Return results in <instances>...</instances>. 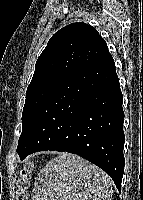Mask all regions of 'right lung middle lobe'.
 Masks as SVG:
<instances>
[{
	"label": "right lung middle lobe",
	"instance_id": "dd1d6c3e",
	"mask_svg": "<svg viewBox=\"0 0 143 200\" xmlns=\"http://www.w3.org/2000/svg\"><path fill=\"white\" fill-rule=\"evenodd\" d=\"M68 75L54 74L32 81L26 92V100L22 113V133L19 138V149L26 136L28 128L42 105L49 96L61 85Z\"/></svg>",
	"mask_w": 143,
	"mask_h": 200
}]
</instances>
